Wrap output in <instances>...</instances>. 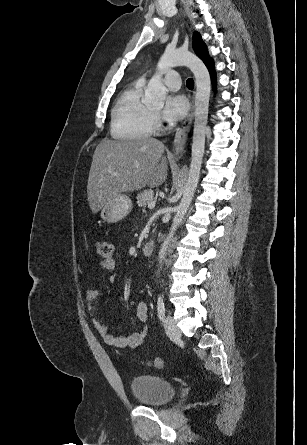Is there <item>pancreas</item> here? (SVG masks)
I'll list each match as a JSON object with an SVG mask.
<instances>
[{"label":"pancreas","instance_id":"pancreas-1","mask_svg":"<svg viewBox=\"0 0 307 445\" xmlns=\"http://www.w3.org/2000/svg\"><path fill=\"white\" fill-rule=\"evenodd\" d=\"M153 194H154L153 190H144V192H139L137 196L138 206H146L148 202H152Z\"/></svg>","mask_w":307,"mask_h":445}]
</instances>
